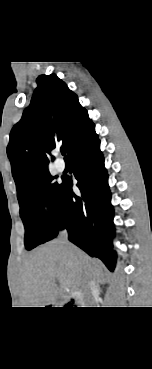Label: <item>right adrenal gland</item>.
Instances as JSON below:
<instances>
[{"label": "right adrenal gland", "mask_w": 152, "mask_h": 369, "mask_svg": "<svg viewBox=\"0 0 152 369\" xmlns=\"http://www.w3.org/2000/svg\"><path fill=\"white\" fill-rule=\"evenodd\" d=\"M98 287L100 284H105L106 283V280H105V277H104V274L101 273L98 278H97V281H96Z\"/></svg>", "instance_id": "right-adrenal-gland-1"}]
</instances>
